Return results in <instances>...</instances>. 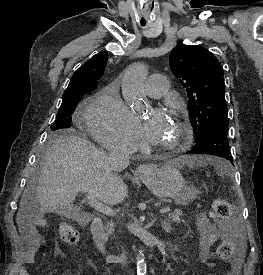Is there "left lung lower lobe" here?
Instances as JSON below:
<instances>
[{
    "label": "left lung lower lobe",
    "mask_w": 263,
    "mask_h": 275,
    "mask_svg": "<svg viewBox=\"0 0 263 275\" xmlns=\"http://www.w3.org/2000/svg\"><path fill=\"white\" fill-rule=\"evenodd\" d=\"M229 140L228 125L219 126L197 140L189 153L215 155L233 163Z\"/></svg>",
    "instance_id": "0a47b994"
}]
</instances>
